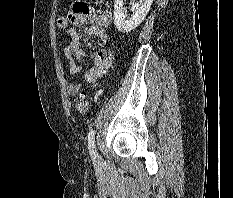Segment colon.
I'll return each instance as SVG.
<instances>
[{"label": "colon", "instance_id": "1", "mask_svg": "<svg viewBox=\"0 0 233 198\" xmlns=\"http://www.w3.org/2000/svg\"><path fill=\"white\" fill-rule=\"evenodd\" d=\"M57 26L59 29L61 30H64L68 27V20L67 18L65 17H59L58 20H57ZM76 110L79 112V113H86L89 109V103L87 101V98H86V94L85 93H82L80 94L77 102H76Z\"/></svg>", "mask_w": 233, "mask_h": 198}]
</instances>
